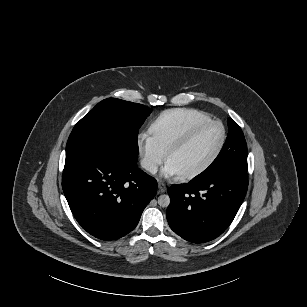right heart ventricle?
Instances as JSON below:
<instances>
[{"label":"right heart ventricle","mask_w":307,"mask_h":307,"mask_svg":"<svg viewBox=\"0 0 307 307\" xmlns=\"http://www.w3.org/2000/svg\"><path fill=\"white\" fill-rule=\"evenodd\" d=\"M210 117L195 109H169L161 112L149 126V132L163 152L182 140Z\"/></svg>","instance_id":"obj_1"}]
</instances>
